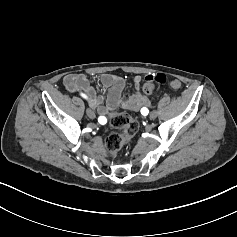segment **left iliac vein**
<instances>
[{
  "instance_id": "obj_1",
  "label": "left iliac vein",
  "mask_w": 237,
  "mask_h": 237,
  "mask_svg": "<svg viewBox=\"0 0 237 237\" xmlns=\"http://www.w3.org/2000/svg\"><path fill=\"white\" fill-rule=\"evenodd\" d=\"M157 111H152L151 113H150V118L151 119H155L156 117H157Z\"/></svg>"
}]
</instances>
